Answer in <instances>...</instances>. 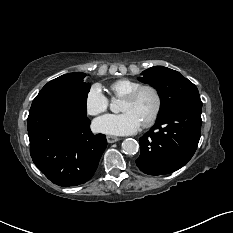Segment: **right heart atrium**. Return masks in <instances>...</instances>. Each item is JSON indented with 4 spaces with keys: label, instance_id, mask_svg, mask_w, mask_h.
<instances>
[{
    "label": "right heart atrium",
    "instance_id": "1",
    "mask_svg": "<svg viewBox=\"0 0 233 233\" xmlns=\"http://www.w3.org/2000/svg\"><path fill=\"white\" fill-rule=\"evenodd\" d=\"M108 98L104 95L99 84H93L85 97V108L88 114L98 115L107 110Z\"/></svg>",
    "mask_w": 233,
    "mask_h": 233
}]
</instances>
